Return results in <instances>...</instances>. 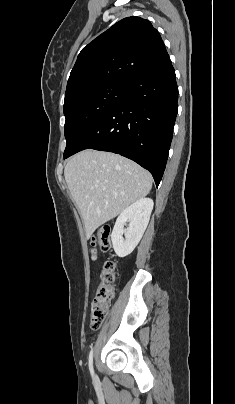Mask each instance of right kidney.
Masks as SVG:
<instances>
[{
    "instance_id": "1",
    "label": "right kidney",
    "mask_w": 235,
    "mask_h": 404,
    "mask_svg": "<svg viewBox=\"0 0 235 404\" xmlns=\"http://www.w3.org/2000/svg\"><path fill=\"white\" fill-rule=\"evenodd\" d=\"M153 200L142 198L124 209L116 220L111 239L119 257L129 255L141 240L153 209ZM128 228L124 229L126 223ZM125 235V238H123Z\"/></svg>"
}]
</instances>
